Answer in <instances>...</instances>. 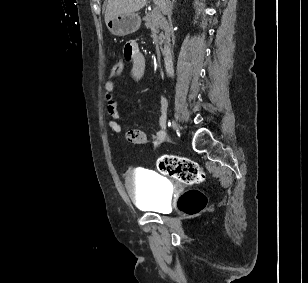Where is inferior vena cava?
Returning a JSON list of instances; mask_svg holds the SVG:
<instances>
[{
  "label": "inferior vena cava",
  "instance_id": "obj_1",
  "mask_svg": "<svg viewBox=\"0 0 308 283\" xmlns=\"http://www.w3.org/2000/svg\"><path fill=\"white\" fill-rule=\"evenodd\" d=\"M171 9H172V7H171V5L169 4V2L167 1L166 3H164V5H163V12L165 13V14H167L168 15V35H169V38L170 39H173L174 38V35H175V28H174V20L171 18V14H172V11H171ZM170 44L171 45H174L175 44V41L174 40H171L170 41Z\"/></svg>",
  "mask_w": 308,
  "mask_h": 283
}]
</instances>
